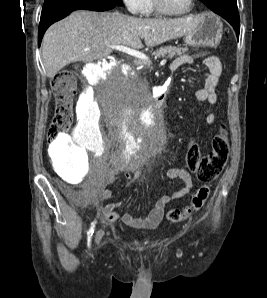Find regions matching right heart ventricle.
I'll list each match as a JSON object with an SVG mask.
<instances>
[{
  "label": "right heart ventricle",
  "mask_w": 267,
  "mask_h": 298,
  "mask_svg": "<svg viewBox=\"0 0 267 298\" xmlns=\"http://www.w3.org/2000/svg\"><path fill=\"white\" fill-rule=\"evenodd\" d=\"M142 13L146 16H151L155 14L152 0H145Z\"/></svg>",
  "instance_id": "obj_1"
}]
</instances>
